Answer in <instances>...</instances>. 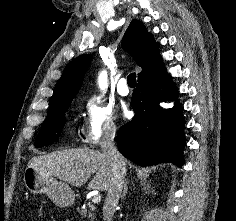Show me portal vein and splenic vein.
<instances>
[{
	"label": "portal vein and splenic vein",
	"mask_w": 236,
	"mask_h": 221,
	"mask_svg": "<svg viewBox=\"0 0 236 221\" xmlns=\"http://www.w3.org/2000/svg\"><path fill=\"white\" fill-rule=\"evenodd\" d=\"M100 201H101V195H100V194L95 195V196L92 198V202H93L94 204L99 203Z\"/></svg>",
	"instance_id": "portal-vein-and-splenic-vein-1"
}]
</instances>
